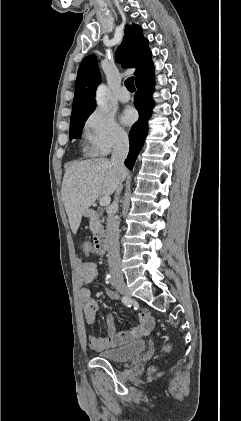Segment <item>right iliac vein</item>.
I'll return each mask as SVG.
<instances>
[{
  "label": "right iliac vein",
  "instance_id": "63e3f726",
  "mask_svg": "<svg viewBox=\"0 0 241 421\" xmlns=\"http://www.w3.org/2000/svg\"><path fill=\"white\" fill-rule=\"evenodd\" d=\"M112 285L116 288L118 292L123 294L125 297H130L129 289L127 288L125 282L122 279H114Z\"/></svg>",
  "mask_w": 241,
  "mask_h": 421
}]
</instances>
